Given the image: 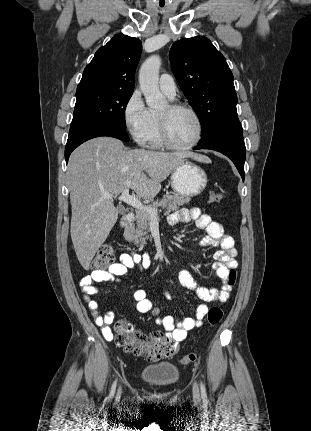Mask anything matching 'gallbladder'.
I'll return each mask as SVG.
<instances>
[{
  "label": "gallbladder",
  "mask_w": 311,
  "mask_h": 431,
  "mask_svg": "<svg viewBox=\"0 0 311 431\" xmlns=\"http://www.w3.org/2000/svg\"><path fill=\"white\" fill-rule=\"evenodd\" d=\"M118 212H123V214H126L125 208H122V206H117Z\"/></svg>",
  "instance_id": "gallbladder-1"
}]
</instances>
